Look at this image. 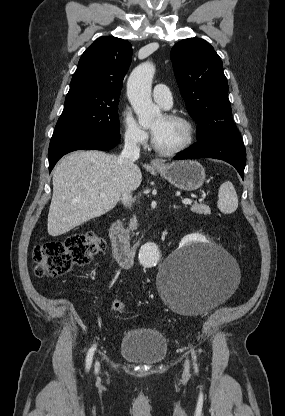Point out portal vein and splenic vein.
Returning <instances> with one entry per match:
<instances>
[{
  "instance_id": "1",
  "label": "portal vein and splenic vein",
  "mask_w": 285,
  "mask_h": 416,
  "mask_svg": "<svg viewBox=\"0 0 285 416\" xmlns=\"http://www.w3.org/2000/svg\"><path fill=\"white\" fill-rule=\"evenodd\" d=\"M100 196H104V194H100ZM182 204H192V200H182Z\"/></svg>"
}]
</instances>
